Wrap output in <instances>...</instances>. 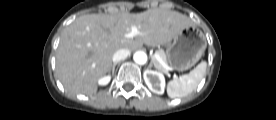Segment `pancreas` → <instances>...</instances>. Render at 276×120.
Here are the masks:
<instances>
[{
	"instance_id": "1",
	"label": "pancreas",
	"mask_w": 276,
	"mask_h": 120,
	"mask_svg": "<svg viewBox=\"0 0 276 120\" xmlns=\"http://www.w3.org/2000/svg\"><path fill=\"white\" fill-rule=\"evenodd\" d=\"M156 54L159 56L160 60H157V59H154V64H155V67L160 70V71H164V67L162 65V62H166V54L164 53L163 50H158L156 52Z\"/></svg>"
}]
</instances>
